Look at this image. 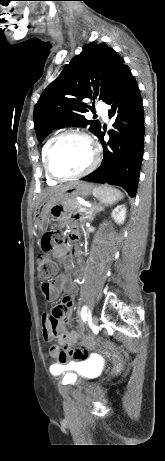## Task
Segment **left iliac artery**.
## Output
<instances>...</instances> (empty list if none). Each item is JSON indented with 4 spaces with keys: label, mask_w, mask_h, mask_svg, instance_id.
<instances>
[{
    "label": "left iliac artery",
    "mask_w": 165,
    "mask_h": 461,
    "mask_svg": "<svg viewBox=\"0 0 165 461\" xmlns=\"http://www.w3.org/2000/svg\"><path fill=\"white\" fill-rule=\"evenodd\" d=\"M81 316H82V319L83 320H86V317H87V308L86 307H83L82 310H81Z\"/></svg>",
    "instance_id": "left-iliac-artery-1"
}]
</instances>
